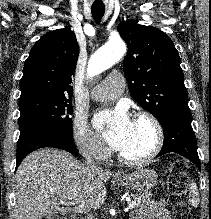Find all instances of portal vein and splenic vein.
Here are the masks:
<instances>
[{
    "label": "portal vein and splenic vein",
    "instance_id": "portal-vein-and-splenic-vein-1",
    "mask_svg": "<svg viewBox=\"0 0 211 219\" xmlns=\"http://www.w3.org/2000/svg\"><path fill=\"white\" fill-rule=\"evenodd\" d=\"M135 207V202H129L128 209H133Z\"/></svg>",
    "mask_w": 211,
    "mask_h": 219
}]
</instances>
